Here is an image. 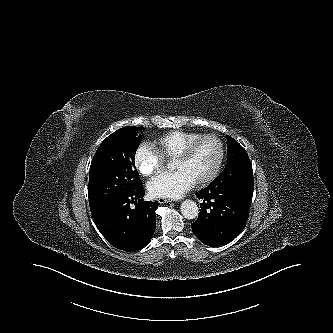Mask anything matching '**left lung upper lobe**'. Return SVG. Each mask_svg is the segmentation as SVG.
Wrapping results in <instances>:
<instances>
[{"label": "left lung upper lobe", "instance_id": "1", "mask_svg": "<svg viewBox=\"0 0 333 333\" xmlns=\"http://www.w3.org/2000/svg\"><path fill=\"white\" fill-rule=\"evenodd\" d=\"M227 138V165L216 179H228L233 189L252 197L254 180L248 154L236 140L230 136Z\"/></svg>", "mask_w": 333, "mask_h": 333}]
</instances>
